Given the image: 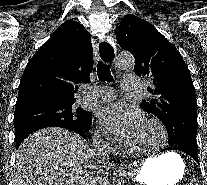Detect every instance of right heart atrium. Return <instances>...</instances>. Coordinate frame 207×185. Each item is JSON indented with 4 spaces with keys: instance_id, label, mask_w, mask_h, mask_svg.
I'll list each match as a JSON object with an SVG mask.
<instances>
[{
    "instance_id": "1",
    "label": "right heart atrium",
    "mask_w": 207,
    "mask_h": 185,
    "mask_svg": "<svg viewBox=\"0 0 207 185\" xmlns=\"http://www.w3.org/2000/svg\"><path fill=\"white\" fill-rule=\"evenodd\" d=\"M95 139L105 147H111L116 143V139L104 129L96 132Z\"/></svg>"
}]
</instances>
